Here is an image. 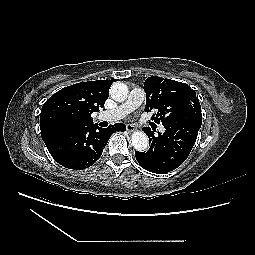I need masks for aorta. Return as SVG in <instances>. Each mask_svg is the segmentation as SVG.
I'll use <instances>...</instances> for the list:
<instances>
[{"label": "aorta", "mask_w": 255, "mask_h": 255, "mask_svg": "<svg viewBox=\"0 0 255 255\" xmlns=\"http://www.w3.org/2000/svg\"><path fill=\"white\" fill-rule=\"evenodd\" d=\"M110 96L117 102H123L127 99L128 87L122 82H115L110 88ZM131 142L137 151H145L149 146L148 137L142 131L133 132Z\"/></svg>", "instance_id": "aorta-1"}]
</instances>
